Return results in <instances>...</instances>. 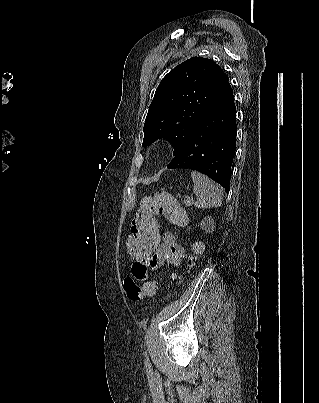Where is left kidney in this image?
Returning a JSON list of instances; mask_svg holds the SVG:
<instances>
[{
  "mask_svg": "<svg viewBox=\"0 0 319 403\" xmlns=\"http://www.w3.org/2000/svg\"><path fill=\"white\" fill-rule=\"evenodd\" d=\"M202 224L205 228H207L208 225L211 227L213 226V222H212L211 218H209V217L204 218V221H202Z\"/></svg>",
  "mask_w": 319,
  "mask_h": 403,
  "instance_id": "1",
  "label": "left kidney"
}]
</instances>
